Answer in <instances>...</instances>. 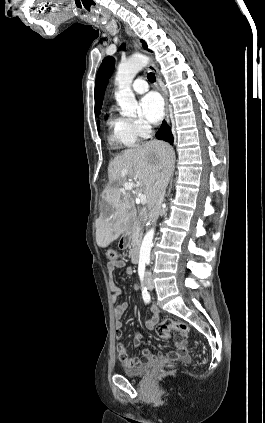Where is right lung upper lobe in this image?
Returning <instances> with one entry per match:
<instances>
[{
	"label": "right lung upper lobe",
	"instance_id": "1",
	"mask_svg": "<svg viewBox=\"0 0 265 423\" xmlns=\"http://www.w3.org/2000/svg\"><path fill=\"white\" fill-rule=\"evenodd\" d=\"M99 113H100V111H99L98 102H97V100H96V98H95V114H96V115H99Z\"/></svg>",
	"mask_w": 265,
	"mask_h": 423
}]
</instances>
